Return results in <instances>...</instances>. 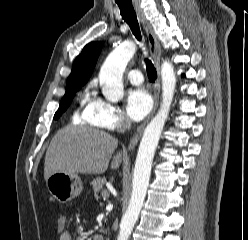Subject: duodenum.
Segmentation results:
<instances>
[{
	"label": "duodenum",
	"mask_w": 248,
	"mask_h": 240,
	"mask_svg": "<svg viewBox=\"0 0 248 240\" xmlns=\"http://www.w3.org/2000/svg\"><path fill=\"white\" fill-rule=\"evenodd\" d=\"M96 240H106V239L103 238V237H101V236H98V237L96 238Z\"/></svg>",
	"instance_id": "obj_1"
}]
</instances>
